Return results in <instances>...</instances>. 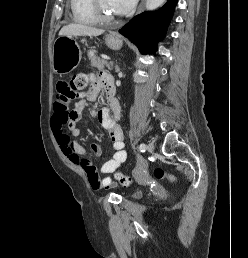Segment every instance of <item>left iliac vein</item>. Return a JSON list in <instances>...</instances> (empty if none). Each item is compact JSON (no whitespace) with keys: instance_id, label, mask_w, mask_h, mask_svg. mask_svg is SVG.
Segmentation results:
<instances>
[{"instance_id":"left-iliac-vein-1","label":"left iliac vein","mask_w":248,"mask_h":258,"mask_svg":"<svg viewBox=\"0 0 248 258\" xmlns=\"http://www.w3.org/2000/svg\"><path fill=\"white\" fill-rule=\"evenodd\" d=\"M147 150H148V152H153L154 146H153L152 143H149V144L147 145Z\"/></svg>"}]
</instances>
